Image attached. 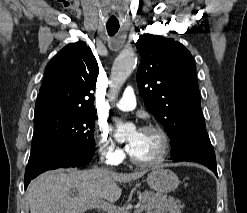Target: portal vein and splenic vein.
Wrapping results in <instances>:
<instances>
[{"label":"portal vein and splenic vein","instance_id":"18ae733b","mask_svg":"<svg viewBox=\"0 0 247 213\" xmlns=\"http://www.w3.org/2000/svg\"><path fill=\"white\" fill-rule=\"evenodd\" d=\"M90 207L98 208L100 210L106 211L107 213H128V211L125 208L112 205L103 200H96V201L91 202ZM142 210H144V206L142 204L137 205L135 213H139Z\"/></svg>","mask_w":247,"mask_h":213}]
</instances>
